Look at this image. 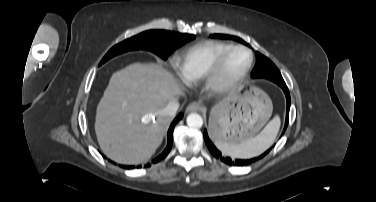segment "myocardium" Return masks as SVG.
I'll use <instances>...</instances> for the list:
<instances>
[{
    "instance_id": "f54148a6",
    "label": "myocardium",
    "mask_w": 376,
    "mask_h": 202,
    "mask_svg": "<svg viewBox=\"0 0 376 202\" xmlns=\"http://www.w3.org/2000/svg\"><path fill=\"white\" fill-rule=\"evenodd\" d=\"M245 51L249 55V61L245 68L235 77L225 79L223 76V69L228 57L235 51ZM254 61L252 51L243 45H232L225 50L216 60L212 68L205 77V85L207 90L214 95H223L234 90L247 76Z\"/></svg>"
}]
</instances>
